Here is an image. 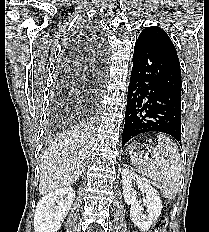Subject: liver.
<instances>
[{"instance_id": "liver-1", "label": "liver", "mask_w": 209, "mask_h": 232, "mask_svg": "<svg viewBox=\"0 0 209 232\" xmlns=\"http://www.w3.org/2000/svg\"><path fill=\"white\" fill-rule=\"evenodd\" d=\"M90 145V130L84 125L57 136L40 161L39 193L74 183L86 169Z\"/></svg>"}]
</instances>
